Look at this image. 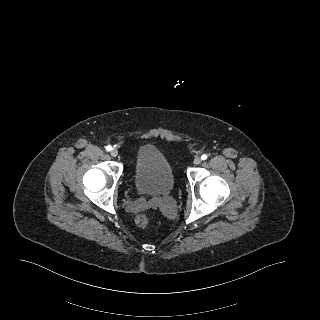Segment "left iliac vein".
Here are the masks:
<instances>
[{"label":"left iliac vein","instance_id":"4c4485c4","mask_svg":"<svg viewBox=\"0 0 320 320\" xmlns=\"http://www.w3.org/2000/svg\"><path fill=\"white\" fill-rule=\"evenodd\" d=\"M201 162H202V159L200 157H196L193 161L195 165H199Z\"/></svg>","mask_w":320,"mask_h":320}]
</instances>
